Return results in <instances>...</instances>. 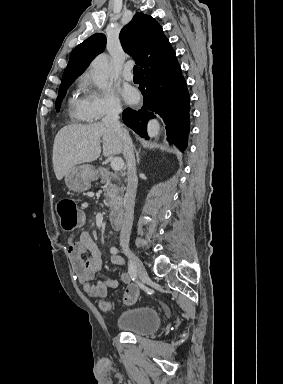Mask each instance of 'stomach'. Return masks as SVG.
Instances as JSON below:
<instances>
[{"mask_svg": "<svg viewBox=\"0 0 283 384\" xmlns=\"http://www.w3.org/2000/svg\"><path fill=\"white\" fill-rule=\"evenodd\" d=\"M96 170L91 164H82V166H74L67 174H65V184L72 192H86L90 190L91 182L96 178Z\"/></svg>", "mask_w": 283, "mask_h": 384, "instance_id": "1", "label": "stomach"}]
</instances>
